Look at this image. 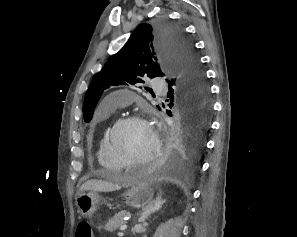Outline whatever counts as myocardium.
I'll return each mask as SVG.
<instances>
[{"label":"myocardium","mask_w":297,"mask_h":237,"mask_svg":"<svg viewBox=\"0 0 297 237\" xmlns=\"http://www.w3.org/2000/svg\"><path fill=\"white\" fill-rule=\"evenodd\" d=\"M129 123H142L149 127L153 139H154V146L153 149L146 158L142 160H131L124 156L121 151L118 149L116 142H115V136L118 130ZM107 145L110 153L120 162L122 166H143V165H149L156 161L160 155H161V140L159 133L154 128V126L149 122L148 119L143 117L142 115L133 114V115H127L124 117L119 118L110 128L108 134H107Z\"/></svg>","instance_id":"myocardium-1"}]
</instances>
